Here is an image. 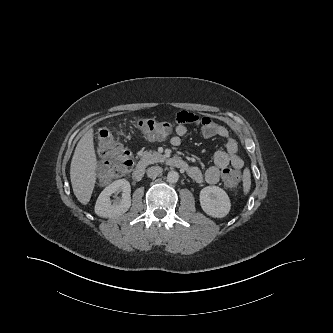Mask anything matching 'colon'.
<instances>
[{"instance_id":"colon-1","label":"colon","mask_w":333,"mask_h":333,"mask_svg":"<svg viewBox=\"0 0 333 333\" xmlns=\"http://www.w3.org/2000/svg\"><path fill=\"white\" fill-rule=\"evenodd\" d=\"M137 128L145 137L160 140L172 132L173 125L154 119H140L137 122ZM98 150L106 159L98 170L103 181L119 178L131 169L133 158L130 152L114 139L109 128L98 131ZM223 179L227 187L233 188L239 181V174L236 170L228 168L223 172Z\"/></svg>"}]
</instances>
